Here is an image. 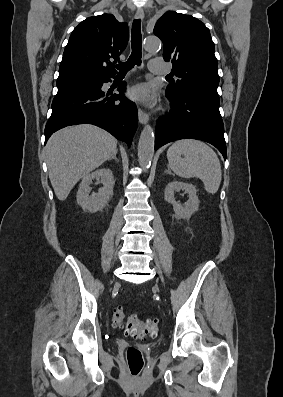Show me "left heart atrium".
I'll use <instances>...</instances> for the list:
<instances>
[{"label":"left heart atrium","instance_id":"1","mask_svg":"<svg viewBox=\"0 0 283 397\" xmlns=\"http://www.w3.org/2000/svg\"><path fill=\"white\" fill-rule=\"evenodd\" d=\"M128 97L133 101L144 104H152L154 101L150 88L145 84H138L133 86L128 91Z\"/></svg>","mask_w":283,"mask_h":397}]
</instances>
